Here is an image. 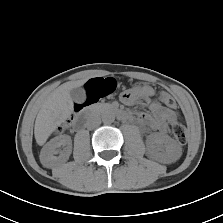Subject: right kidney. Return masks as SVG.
I'll use <instances>...</instances> for the list:
<instances>
[{
    "label": "right kidney",
    "instance_id": "1",
    "mask_svg": "<svg viewBox=\"0 0 223 223\" xmlns=\"http://www.w3.org/2000/svg\"><path fill=\"white\" fill-rule=\"evenodd\" d=\"M61 146L63 150H61ZM71 138L61 135L52 139L41 150L40 160L45 167H52L57 162H66L71 154ZM58 154V156H56Z\"/></svg>",
    "mask_w": 223,
    "mask_h": 223
}]
</instances>
